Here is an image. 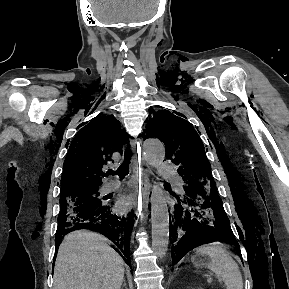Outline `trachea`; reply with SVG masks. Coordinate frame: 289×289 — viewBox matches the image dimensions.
<instances>
[{"instance_id":"obj_1","label":"trachea","mask_w":289,"mask_h":289,"mask_svg":"<svg viewBox=\"0 0 289 289\" xmlns=\"http://www.w3.org/2000/svg\"><path fill=\"white\" fill-rule=\"evenodd\" d=\"M131 157H132V152L129 148H127L125 151V155H124V162L119 166V168L116 171L109 170L106 173V176L118 175L120 179H123L129 173V164H130Z\"/></svg>"}]
</instances>
